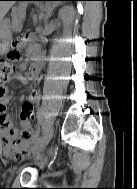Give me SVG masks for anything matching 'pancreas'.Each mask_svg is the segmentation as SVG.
Wrapping results in <instances>:
<instances>
[{
	"mask_svg": "<svg viewBox=\"0 0 137 189\" xmlns=\"http://www.w3.org/2000/svg\"><path fill=\"white\" fill-rule=\"evenodd\" d=\"M25 18V9L21 6L12 9L13 26H21L22 20Z\"/></svg>",
	"mask_w": 137,
	"mask_h": 189,
	"instance_id": "cf45deb5",
	"label": "pancreas"
}]
</instances>
